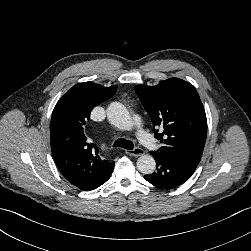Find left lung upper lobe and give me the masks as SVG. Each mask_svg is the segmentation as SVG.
<instances>
[{
    "mask_svg": "<svg viewBox=\"0 0 251 251\" xmlns=\"http://www.w3.org/2000/svg\"><path fill=\"white\" fill-rule=\"evenodd\" d=\"M135 91L151 118L155 138L163 144L154 152L196 169L206 141L207 119L195 87L170 78L156 86L138 85Z\"/></svg>",
    "mask_w": 251,
    "mask_h": 251,
    "instance_id": "1",
    "label": "left lung upper lobe"
}]
</instances>
